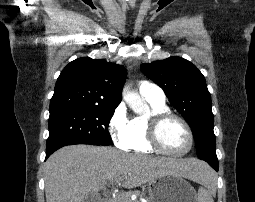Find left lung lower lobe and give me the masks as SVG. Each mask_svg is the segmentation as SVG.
Returning a JSON list of instances; mask_svg holds the SVG:
<instances>
[{"mask_svg":"<svg viewBox=\"0 0 255 202\" xmlns=\"http://www.w3.org/2000/svg\"><path fill=\"white\" fill-rule=\"evenodd\" d=\"M204 161H206L211 167H213L216 171H218V161H214L211 159H204Z\"/></svg>","mask_w":255,"mask_h":202,"instance_id":"0a47b994","label":"left lung lower lobe"}]
</instances>
